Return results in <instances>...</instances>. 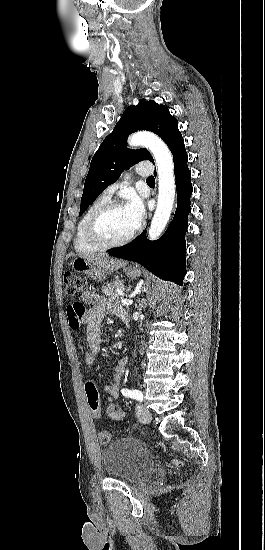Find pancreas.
I'll return each mask as SVG.
<instances>
[{"mask_svg": "<svg viewBox=\"0 0 265 550\" xmlns=\"http://www.w3.org/2000/svg\"><path fill=\"white\" fill-rule=\"evenodd\" d=\"M126 290L129 291L131 289V286L129 285L126 287L124 285L123 281L115 280L110 283H107L103 286L102 291L103 293L109 297V300L115 301L116 303H120V300L122 299L121 296L117 293L118 290Z\"/></svg>", "mask_w": 265, "mask_h": 550, "instance_id": "1", "label": "pancreas"}]
</instances>
